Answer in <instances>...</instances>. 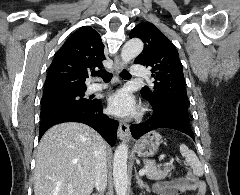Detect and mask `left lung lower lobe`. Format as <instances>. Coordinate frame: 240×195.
Here are the masks:
<instances>
[{"instance_id": "0a47b994", "label": "left lung lower lobe", "mask_w": 240, "mask_h": 195, "mask_svg": "<svg viewBox=\"0 0 240 195\" xmlns=\"http://www.w3.org/2000/svg\"><path fill=\"white\" fill-rule=\"evenodd\" d=\"M158 128L175 129L194 139V134L189 125V116L178 112H156L149 120L130 126L132 136L135 139H138L143 134Z\"/></svg>"}]
</instances>
